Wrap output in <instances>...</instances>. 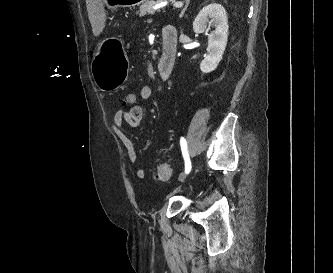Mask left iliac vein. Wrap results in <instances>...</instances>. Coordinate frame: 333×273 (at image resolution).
Segmentation results:
<instances>
[{"mask_svg": "<svg viewBox=\"0 0 333 273\" xmlns=\"http://www.w3.org/2000/svg\"><path fill=\"white\" fill-rule=\"evenodd\" d=\"M186 178V175L182 174L179 176L178 180L183 181Z\"/></svg>", "mask_w": 333, "mask_h": 273, "instance_id": "left-iliac-vein-1", "label": "left iliac vein"}]
</instances>
